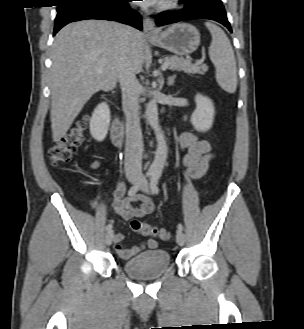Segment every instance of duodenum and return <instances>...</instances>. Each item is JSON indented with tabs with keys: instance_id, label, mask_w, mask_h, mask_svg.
<instances>
[{
	"instance_id": "duodenum-1",
	"label": "duodenum",
	"mask_w": 304,
	"mask_h": 329,
	"mask_svg": "<svg viewBox=\"0 0 304 329\" xmlns=\"http://www.w3.org/2000/svg\"><path fill=\"white\" fill-rule=\"evenodd\" d=\"M111 138L115 145L122 146L124 142V129L121 118L117 114L112 116Z\"/></svg>"
}]
</instances>
